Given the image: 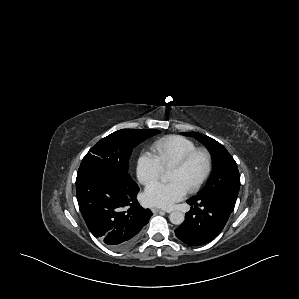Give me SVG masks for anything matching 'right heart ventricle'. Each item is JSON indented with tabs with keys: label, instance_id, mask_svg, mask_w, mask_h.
<instances>
[{
	"label": "right heart ventricle",
	"instance_id": "obj_1",
	"mask_svg": "<svg viewBox=\"0 0 299 299\" xmlns=\"http://www.w3.org/2000/svg\"><path fill=\"white\" fill-rule=\"evenodd\" d=\"M196 148L192 140L180 135H169L158 139L153 144L155 156L163 170L170 169L183 156Z\"/></svg>",
	"mask_w": 299,
	"mask_h": 299
}]
</instances>
